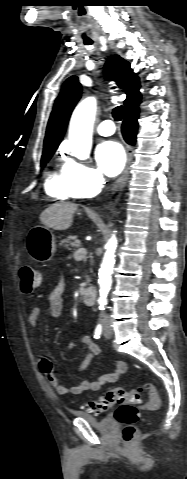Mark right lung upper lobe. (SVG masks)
I'll list each match as a JSON object with an SVG mask.
<instances>
[{
  "mask_svg": "<svg viewBox=\"0 0 187 479\" xmlns=\"http://www.w3.org/2000/svg\"><path fill=\"white\" fill-rule=\"evenodd\" d=\"M105 76L109 80H115L120 88L124 89L127 98L124 101L125 109H132L139 106L141 94L139 92V77L130 68V64L118 55L110 57L105 64ZM81 96V85L76 76L68 78L56 100L51 113L46 136L44 150H56L58 147L71 112Z\"/></svg>",
  "mask_w": 187,
  "mask_h": 479,
  "instance_id": "right-lung-upper-lobe-1",
  "label": "right lung upper lobe"
}]
</instances>
